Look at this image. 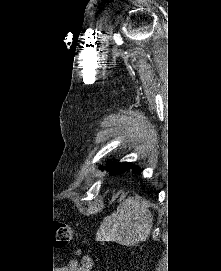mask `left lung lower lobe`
Instances as JSON below:
<instances>
[{
	"label": "left lung lower lobe",
	"instance_id": "0a47b994",
	"mask_svg": "<svg viewBox=\"0 0 221 271\" xmlns=\"http://www.w3.org/2000/svg\"><path fill=\"white\" fill-rule=\"evenodd\" d=\"M131 167H132V166H130V168H131ZM130 168H129V169H130ZM133 170H134V171H138L139 168H137L136 166H133Z\"/></svg>",
	"mask_w": 221,
	"mask_h": 271
}]
</instances>
